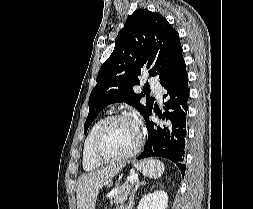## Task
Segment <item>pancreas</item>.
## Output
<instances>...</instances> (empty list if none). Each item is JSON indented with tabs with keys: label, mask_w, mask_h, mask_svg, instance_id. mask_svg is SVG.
I'll return each mask as SVG.
<instances>
[{
	"label": "pancreas",
	"mask_w": 253,
	"mask_h": 209,
	"mask_svg": "<svg viewBox=\"0 0 253 209\" xmlns=\"http://www.w3.org/2000/svg\"><path fill=\"white\" fill-rule=\"evenodd\" d=\"M133 188L134 184L126 181L119 190L109 196L110 204H123L129 198Z\"/></svg>",
	"instance_id": "1"
}]
</instances>
